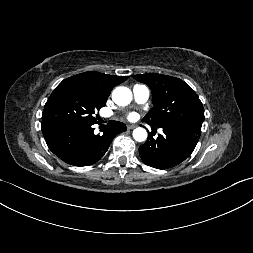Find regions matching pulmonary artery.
Instances as JSON below:
<instances>
[{
	"label": "pulmonary artery",
	"mask_w": 253,
	"mask_h": 253,
	"mask_svg": "<svg viewBox=\"0 0 253 253\" xmlns=\"http://www.w3.org/2000/svg\"><path fill=\"white\" fill-rule=\"evenodd\" d=\"M150 96V89L146 85L136 84L133 86V97L136 103H145Z\"/></svg>",
	"instance_id": "obj_1"
}]
</instances>
